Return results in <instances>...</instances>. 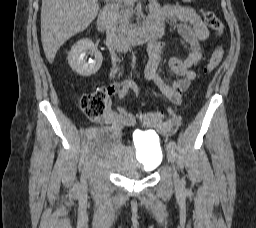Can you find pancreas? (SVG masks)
Wrapping results in <instances>:
<instances>
[{"mask_svg": "<svg viewBox=\"0 0 256 228\" xmlns=\"http://www.w3.org/2000/svg\"><path fill=\"white\" fill-rule=\"evenodd\" d=\"M123 2H124V5L126 6V8L123 9L119 15V23H120L121 30H125V29L129 28L130 20L134 15L133 1L123 0Z\"/></svg>", "mask_w": 256, "mask_h": 228, "instance_id": "pancreas-1", "label": "pancreas"}]
</instances>
